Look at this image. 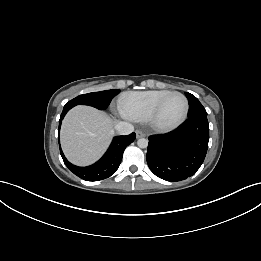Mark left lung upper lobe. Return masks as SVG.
<instances>
[{"label": "left lung upper lobe", "instance_id": "obj_1", "mask_svg": "<svg viewBox=\"0 0 261 261\" xmlns=\"http://www.w3.org/2000/svg\"><path fill=\"white\" fill-rule=\"evenodd\" d=\"M186 96L189 101V114L188 117L196 115H207L205 108L199 102V100L192 94L186 92Z\"/></svg>", "mask_w": 261, "mask_h": 261}]
</instances>
